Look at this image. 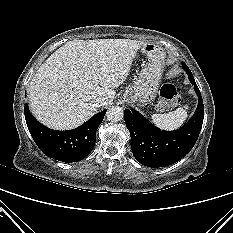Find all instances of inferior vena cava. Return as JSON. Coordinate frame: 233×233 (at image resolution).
I'll list each match as a JSON object with an SVG mask.
<instances>
[{
    "mask_svg": "<svg viewBox=\"0 0 233 233\" xmlns=\"http://www.w3.org/2000/svg\"><path fill=\"white\" fill-rule=\"evenodd\" d=\"M104 103V99L101 97H97L94 101H93V106L94 107H100L102 106Z\"/></svg>",
    "mask_w": 233,
    "mask_h": 233,
    "instance_id": "obj_1",
    "label": "inferior vena cava"
}]
</instances>
